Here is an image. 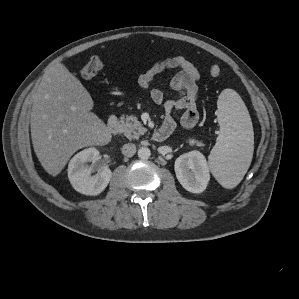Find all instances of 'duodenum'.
<instances>
[{
  "mask_svg": "<svg viewBox=\"0 0 299 299\" xmlns=\"http://www.w3.org/2000/svg\"><path fill=\"white\" fill-rule=\"evenodd\" d=\"M108 130L112 135L118 136L121 134V126L116 116H111L108 120ZM169 129L165 127H160L157 129L153 135L152 138L154 141L162 142L166 140L170 136Z\"/></svg>",
  "mask_w": 299,
  "mask_h": 299,
  "instance_id": "410a0bca",
  "label": "duodenum"
}]
</instances>
